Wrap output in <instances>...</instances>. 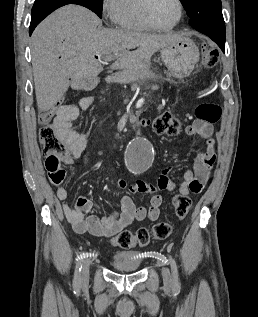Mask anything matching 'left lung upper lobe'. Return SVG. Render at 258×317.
<instances>
[{"label":"left lung upper lobe","mask_w":258,"mask_h":317,"mask_svg":"<svg viewBox=\"0 0 258 317\" xmlns=\"http://www.w3.org/2000/svg\"><path fill=\"white\" fill-rule=\"evenodd\" d=\"M194 29L222 28L225 23L221 0H180Z\"/></svg>","instance_id":"obj_1"}]
</instances>
